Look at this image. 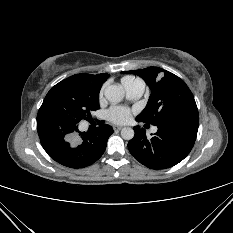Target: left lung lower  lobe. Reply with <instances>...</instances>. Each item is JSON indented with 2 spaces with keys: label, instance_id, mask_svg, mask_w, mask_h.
I'll list each match as a JSON object with an SVG mask.
<instances>
[{
  "label": "left lung lower lobe",
  "instance_id": "1",
  "mask_svg": "<svg viewBox=\"0 0 233 233\" xmlns=\"http://www.w3.org/2000/svg\"><path fill=\"white\" fill-rule=\"evenodd\" d=\"M198 125V116L156 125L158 131L152 138H147L145 130L135 126V136L129 141L128 149L136 160L150 169L172 167L191 151Z\"/></svg>",
  "mask_w": 233,
  "mask_h": 233
}]
</instances>
